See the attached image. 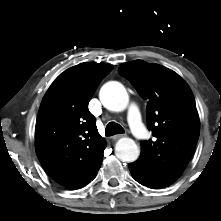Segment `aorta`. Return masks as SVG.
<instances>
[{
    "mask_svg": "<svg viewBox=\"0 0 221 221\" xmlns=\"http://www.w3.org/2000/svg\"><path fill=\"white\" fill-rule=\"evenodd\" d=\"M99 98L105 108L115 112L125 110L129 103L125 87L117 81L104 84L100 89ZM115 154L123 162H134L138 159L140 150L134 140L121 138L116 143Z\"/></svg>",
    "mask_w": 221,
    "mask_h": 221,
    "instance_id": "1",
    "label": "aorta"
}]
</instances>
